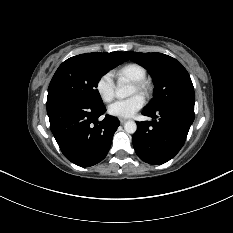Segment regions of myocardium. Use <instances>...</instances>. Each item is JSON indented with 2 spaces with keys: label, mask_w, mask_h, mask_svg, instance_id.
I'll use <instances>...</instances> for the list:
<instances>
[{
  "label": "myocardium",
  "mask_w": 233,
  "mask_h": 233,
  "mask_svg": "<svg viewBox=\"0 0 233 233\" xmlns=\"http://www.w3.org/2000/svg\"><path fill=\"white\" fill-rule=\"evenodd\" d=\"M133 87L144 98H148L152 90L151 84L146 79L133 82Z\"/></svg>",
  "instance_id": "obj_1"
}]
</instances>
